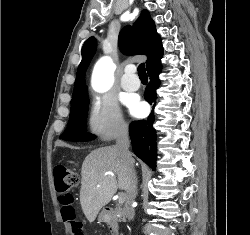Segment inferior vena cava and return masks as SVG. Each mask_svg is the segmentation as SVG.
Instances as JSON below:
<instances>
[{"instance_id": "1", "label": "inferior vena cava", "mask_w": 250, "mask_h": 235, "mask_svg": "<svg viewBox=\"0 0 250 235\" xmlns=\"http://www.w3.org/2000/svg\"><path fill=\"white\" fill-rule=\"evenodd\" d=\"M129 145L130 141H129L128 128L126 125H123L119 132L115 148L120 159L122 160V162L124 163L129 172L130 183L127 189V197L124 206V213L127 218L133 219L135 213L132 208V204L137 194V177L134 170V160L129 151Z\"/></svg>"}]
</instances>
